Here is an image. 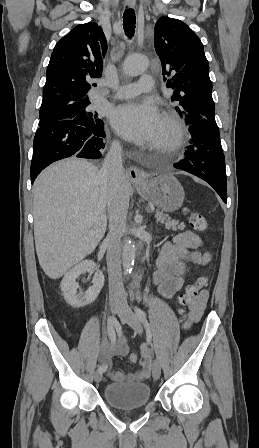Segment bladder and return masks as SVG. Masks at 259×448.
Wrapping results in <instances>:
<instances>
[{
  "label": "bladder",
  "mask_w": 259,
  "mask_h": 448,
  "mask_svg": "<svg viewBox=\"0 0 259 448\" xmlns=\"http://www.w3.org/2000/svg\"><path fill=\"white\" fill-rule=\"evenodd\" d=\"M104 398L111 406L121 410H132L145 406L151 390L146 383H111L105 386Z\"/></svg>",
  "instance_id": "bladder-1"
}]
</instances>
